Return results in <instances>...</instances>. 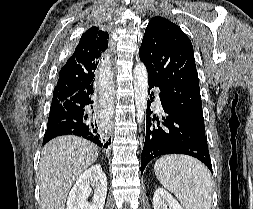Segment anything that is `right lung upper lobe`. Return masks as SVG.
Returning <instances> with one entry per match:
<instances>
[{"mask_svg":"<svg viewBox=\"0 0 253 209\" xmlns=\"http://www.w3.org/2000/svg\"><path fill=\"white\" fill-rule=\"evenodd\" d=\"M109 35L97 27L80 38L72 56L59 73L53 97L70 96L95 81L98 62L108 48Z\"/></svg>","mask_w":253,"mask_h":209,"instance_id":"1","label":"right lung upper lobe"}]
</instances>
